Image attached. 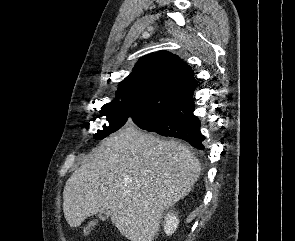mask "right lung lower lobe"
Masks as SVG:
<instances>
[{
	"label": "right lung lower lobe",
	"instance_id": "98d812e1",
	"mask_svg": "<svg viewBox=\"0 0 295 241\" xmlns=\"http://www.w3.org/2000/svg\"><path fill=\"white\" fill-rule=\"evenodd\" d=\"M194 109V102L188 103L141 129L153 131L162 136L180 138L195 148L204 149L202 141L205 137L199 130L200 121L193 114Z\"/></svg>",
	"mask_w": 295,
	"mask_h": 241
}]
</instances>
